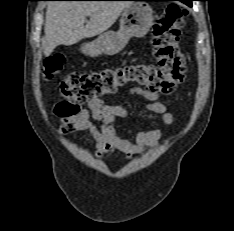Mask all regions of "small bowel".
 I'll return each instance as SVG.
<instances>
[{
  "mask_svg": "<svg viewBox=\"0 0 234 231\" xmlns=\"http://www.w3.org/2000/svg\"><path fill=\"white\" fill-rule=\"evenodd\" d=\"M129 94L146 100V104L141 106L142 110L162 115L165 128L173 123L167 102L157 93L136 86L130 88ZM175 97L178 98L179 95L175 94ZM54 111L62 134L88 132L91 135L95 142L94 157L97 159L104 155L115 156L118 152L129 158L140 151L155 148L163 135V130L153 129L139 132L135 140L120 137L116 123L128 116V106L108 104L101 99L90 101L75 114H62L59 105L55 106Z\"/></svg>",
  "mask_w": 234,
  "mask_h": 231,
  "instance_id": "small-bowel-1",
  "label": "small bowel"
}]
</instances>
